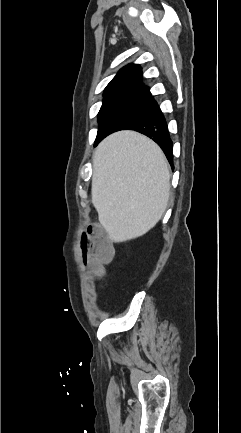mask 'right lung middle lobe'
I'll return each mask as SVG.
<instances>
[{"mask_svg": "<svg viewBox=\"0 0 241 433\" xmlns=\"http://www.w3.org/2000/svg\"><path fill=\"white\" fill-rule=\"evenodd\" d=\"M152 101V96H120L104 100L98 114L99 128L95 146L107 135L122 130Z\"/></svg>", "mask_w": 241, "mask_h": 433, "instance_id": "right-lung-middle-lobe-1", "label": "right lung middle lobe"}]
</instances>
